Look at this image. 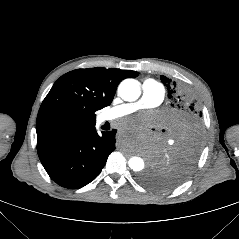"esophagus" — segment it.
Returning <instances> with one entry per match:
<instances>
[{
	"instance_id": "obj_1",
	"label": "esophagus",
	"mask_w": 239,
	"mask_h": 239,
	"mask_svg": "<svg viewBox=\"0 0 239 239\" xmlns=\"http://www.w3.org/2000/svg\"><path fill=\"white\" fill-rule=\"evenodd\" d=\"M115 139H116L117 141H122V140L124 139V134H123L122 132H117V133L115 134Z\"/></svg>"
}]
</instances>
